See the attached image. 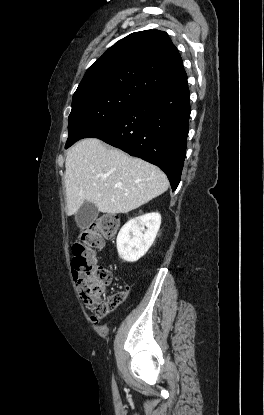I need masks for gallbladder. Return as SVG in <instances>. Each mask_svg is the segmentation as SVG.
Returning a JSON list of instances; mask_svg holds the SVG:
<instances>
[{"label":"gallbladder","mask_w":264,"mask_h":415,"mask_svg":"<svg viewBox=\"0 0 264 415\" xmlns=\"http://www.w3.org/2000/svg\"><path fill=\"white\" fill-rule=\"evenodd\" d=\"M99 210L91 202H84L75 214V221L80 229H86L98 217Z\"/></svg>","instance_id":"1"}]
</instances>
